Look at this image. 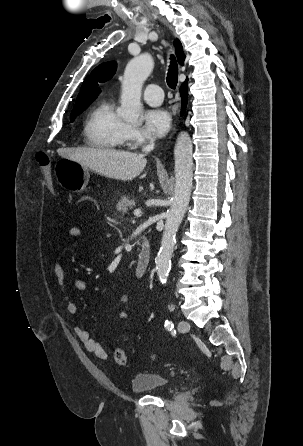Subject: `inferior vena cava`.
Masks as SVG:
<instances>
[{
  "label": "inferior vena cava",
  "instance_id": "obj_1",
  "mask_svg": "<svg viewBox=\"0 0 303 446\" xmlns=\"http://www.w3.org/2000/svg\"><path fill=\"white\" fill-rule=\"evenodd\" d=\"M154 148V140L151 139L150 143L148 145H146L145 147H143L142 151L144 153H148L150 152L152 149Z\"/></svg>",
  "mask_w": 303,
  "mask_h": 446
}]
</instances>
